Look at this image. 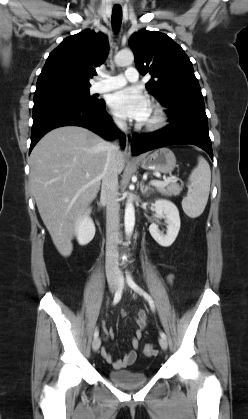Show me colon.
I'll return each instance as SVG.
<instances>
[{
    "mask_svg": "<svg viewBox=\"0 0 248 419\" xmlns=\"http://www.w3.org/2000/svg\"><path fill=\"white\" fill-rule=\"evenodd\" d=\"M156 353L155 348L153 346V344L151 343H147L144 346V354L146 356H153Z\"/></svg>",
    "mask_w": 248,
    "mask_h": 419,
    "instance_id": "1",
    "label": "colon"
}]
</instances>
